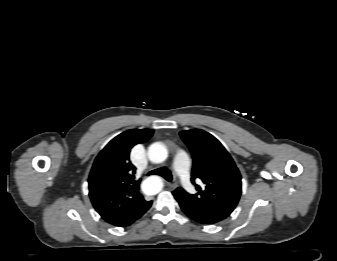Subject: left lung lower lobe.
<instances>
[{"label":"left lung lower lobe","instance_id":"0a47b994","mask_svg":"<svg viewBox=\"0 0 337 261\" xmlns=\"http://www.w3.org/2000/svg\"><path fill=\"white\" fill-rule=\"evenodd\" d=\"M183 212L189 217L191 218L192 220L200 223V224H204V225H210V224H215L214 222H211L207 219H204L203 217H201L200 215L192 212L191 210L187 209V208H184V207H181Z\"/></svg>","mask_w":337,"mask_h":261}]
</instances>
